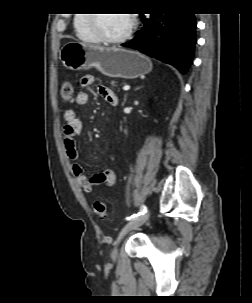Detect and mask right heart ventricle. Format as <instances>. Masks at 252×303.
<instances>
[{
    "mask_svg": "<svg viewBox=\"0 0 252 303\" xmlns=\"http://www.w3.org/2000/svg\"><path fill=\"white\" fill-rule=\"evenodd\" d=\"M74 25L81 37L96 39V35L91 26V16L89 14H78L74 19Z\"/></svg>",
    "mask_w": 252,
    "mask_h": 303,
    "instance_id": "obj_1",
    "label": "right heart ventricle"
}]
</instances>
